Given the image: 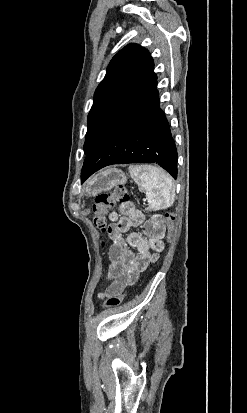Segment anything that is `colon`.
I'll use <instances>...</instances> for the list:
<instances>
[{
  "label": "colon",
  "instance_id": "colon-1",
  "mask_svg": "<svg viewBox=\"0 0 247 413\" xmlns=\"http://www.w3.org/2000/svg\"><path fill=\"white\" fill-rule=\"evenodd\" d=\"M123 203L125 207H130L132 205V200L128 198L126 192L123 190L122 187L118 188L114 192H102L98 194L95 198V202L93 204V222L94 224L101 228L105 227L108 228L107 220H106V206L107 204H118ZM165 225L167 229V233L165 235L166 241H169L171 238V233L174 228V217L173 214L168 213L165 216ZM115 240V239H114ZM124 298V294L121 293V298H107L103 304L104 308H117L121 301Z\"/></svg>",
  "mask_w": 247,
  "mask_h": 413
}]
</instances>
